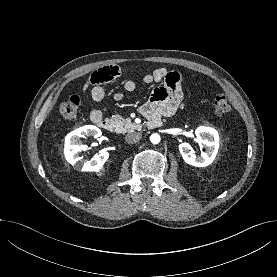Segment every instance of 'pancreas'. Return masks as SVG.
Here are the masks:
<instances>
[{
    "instance_id": "pancreas-1",
    "label": "pancreas",
    "mask_w": 277,
    "mask_h": 277,
    "mask_svg": "<svg viewBox=\"0 0 277 277\" xmlns=\"http://www.w3.org/2000/svg\"><path fill=\"white\" fill-rule=\"evenodd\" d=\"M111 121L114 124L115 131L118 133H126L137 129L139 126L137 124L128 122L126 119L120 115H113Z\"/></svg>"
}]
</instances>
